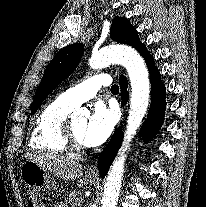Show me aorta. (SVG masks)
<instances>
[{
    "instance_id": "aorta-1",
    "label": "aorta",
    "mask_w": 206,
    "mask_h": 207,
    "mask_svg": "<svg viewBox=\"0 0 206 207\" xmlns=\"http://www.w3.org/2000/svg\"><path fill=\"white\" fill-rule=\"evenodd\" d=\"M112 63L121 64L126 68L132 90L123 147L106 178L102 207H116L124 172L125 152L142 123L150 97L148 71L143 58L136 50L127 46H110L93 53L89 60L93 69H101Z\"/></svg>"
}]
</instances>
